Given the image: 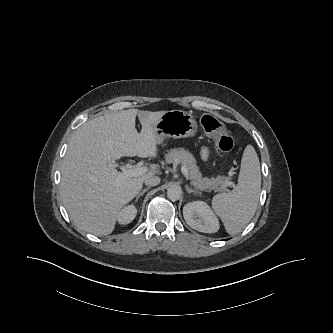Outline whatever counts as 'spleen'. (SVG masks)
Listing matches in <instances>:
<instances>
[{
	"instance_id": "1",
	"label": "spleen",
	"mask_w": 333,
	"mask_h": 333,
	"mask_svg": "<svg viewBox=\"0 0 333 333\" xmlns=\"http://www.w3.org/2000/svg\"><path fill=\"white\" fill-rule=\"evenodd\" d=\"M261 191V171L252 145L244 150L237 186L213 197L212 207L229 234L241 232L253 218Z\"/></svg>"
}]
</instances>
